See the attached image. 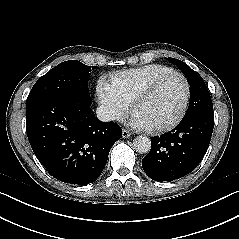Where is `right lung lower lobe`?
I'll return each instance as SVG.
<instances>
[{"label":"right lung lower lobe","instance_id":"1","mask_svg":"<svg viewBox=\"0 0 239 239\" xmlns=\"http://www.w3.org/2000/svg\"><path fill=\"white\" fill-rule=\"evenodd\" d=\"M90 97L46 98L26 105V130L39 162L54 178L87 185L102 173L122 130L101 122Z\"/></svg>","mask_w":239,"mask_h":239}]
</instances>
